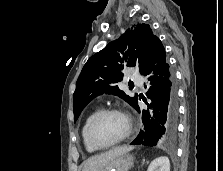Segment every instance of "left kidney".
I'll use <instances>...</instances> for the list:
<instances>
[{"label": "left kidney", "mask_w": 223, "mask_h": 171, "mask_svg": "<svg viewBox=\"0 0 223 171\" xmlns=\"http://www.w3.org/2000/svg\"><path fill=\"white\" fill-rule=\"evenodd\" d=\"M147 171H170V161L166 156L156 158L151 162Z\"/></svg>", "instance_id": "left-kidney-1"}]
</instances>
